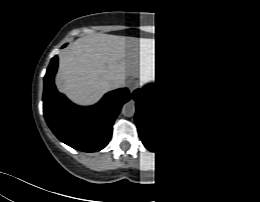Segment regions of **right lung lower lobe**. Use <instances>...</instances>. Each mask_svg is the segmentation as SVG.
I'll return each instance as SVG.
<instances>
[{"label": "right lung lower lobe", "instance_id": "right-lung-lower-lobe-1", "mask_svg": "<svg viewBox=\"0 0 260 202\" xmlns=\"http://www.w3.org/2000/svg\"><path fill=\"white\" fill-rule=\"evenodd\" d=\"M58 57L52 58L44 77L43 109L46 122L57 138L83 152H97L111 139L114 120L130 99L128 89L107 93L91 107H80L58 92L54 76Z\"/></svg>", "mask_w": 260, "mask_h": 202}]
</instances>
